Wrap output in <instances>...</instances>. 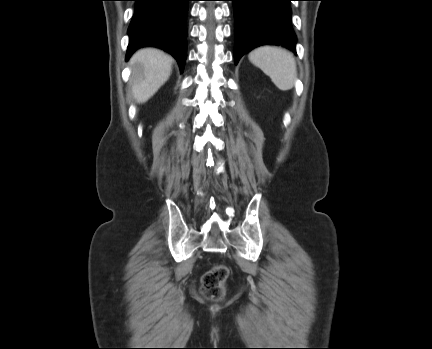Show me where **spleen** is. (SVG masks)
<instances>
[{
  "label": "spleen",
  "instance_id": "obj_1",
  "mask_svg": "<svg viewBox=\"0 0 432 349\" xmlns=\"http://www.w3.org/2000/svg\"><path fill=\"white\" fill-rule=\"evenodd\" d=\"M248 58L270 77L279 90L287 91L293 88L297 67L292 53L280 47L262 46L251 51Z\"/></svg>",
  "mask_w": 432,
  "mask_h": 349
}]
</instances>
